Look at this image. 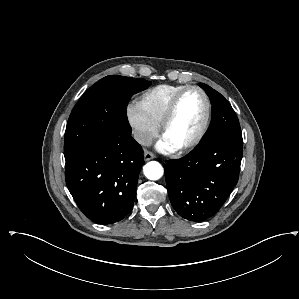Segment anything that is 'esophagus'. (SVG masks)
I'll list each match as a JSON object with an SVG mask.
<instances>
[{
  "label": "esophagus",
  "mask_w": 299,
  "mask_h": 299,
  "mask_svg": "<svg viewBox=\"0 0 299 299\" xmlns=\"http://www.w3.org/2000/svg\"><path fill=\"white\" fill-rule=\"evenodd\" d=\"M154 158H155V155L152 152H150V151H145L144 152V160L145 161H149V160L154 159Z\"/></svg>",
  "instance_id": "1"
}]
</instances>
